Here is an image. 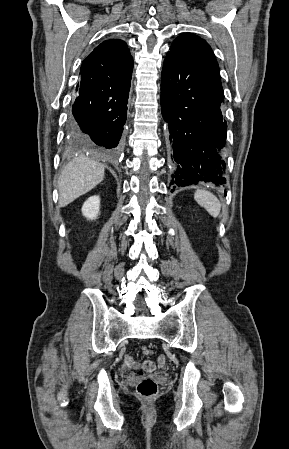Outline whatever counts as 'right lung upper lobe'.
Segmentation results:
<instances>
[{"label":"right lung upper lobe","mask_w":289,"mask_h":449,"mask_svg":"<svg viewBox=\"0 0 289 449\" xmlns=\"http://www.w3.org/2000/svg\"><path fill=\"white\" fill-rule=\"evenodd\" d=\"M133 65L127 44L119 39H110L97 46L81 65V76H109L122 68Z\"/></svg>","instance_id":"right-lung-upper-lobe-1"}]
</instances>
